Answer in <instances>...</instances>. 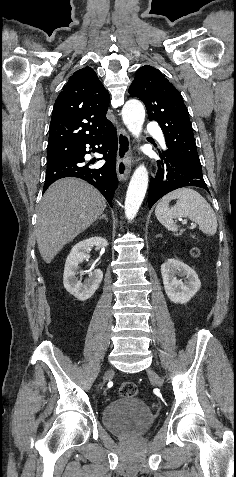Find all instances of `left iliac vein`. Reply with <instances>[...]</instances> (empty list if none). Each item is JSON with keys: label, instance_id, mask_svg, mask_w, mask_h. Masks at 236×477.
Wrapping results in <instances>:
<instances>
[{"label": "left iliac vein", "instance_id": "4c4485c4", "mask_svg": "<svg viewBox=\"0 0 236 477\" xmlns=\"http://www.w3.org/2000/svg\"><path fill=\"white\" fill-rule=\"evenodd\" d=\"M148 375H149L150 379L152 381H154L158 386H162V384H163L162 379L152 369L148 370Z\"/></svg>", "mask_w": 236, "mask_h": 477}]
</instances>
